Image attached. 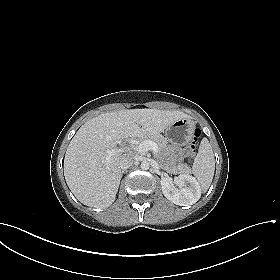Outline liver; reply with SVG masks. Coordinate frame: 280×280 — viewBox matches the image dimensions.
Wrapping results in <instances>:
<instances>
[{
    "mask_svg": "<svg viewBox=\"0 0 280 280\" xmlns=\"http://www.w3.org/2000/svg\"><path fill=\"white\" fill-rule=\"evenodd\" d=\"M189 118L180 111L123 109L107 112L83 124L70 141L64 158V176L74 196L84 205L107 208L114 201L122 171V152L106 163L108 151L125 138H142L163 132L173 122Z\"/></svg>",
    "mask_w": 280,
    "mask_h": 280,
    "instance_id": "obj_1",
    "label": "liver"
}]
</instances>
